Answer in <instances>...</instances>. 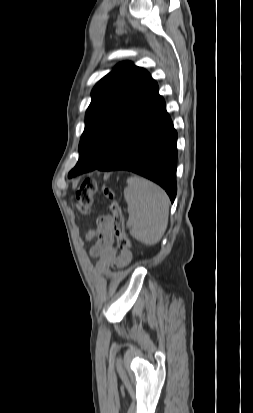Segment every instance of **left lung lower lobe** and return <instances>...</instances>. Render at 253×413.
<instances>
[{"label":"left lung lower lobe","mask_w":253,"mask_h":413,"mask_svg":"<svg viewBox=\"0 0 253 413\" xmlns=\"http://www.w3.org/2000/svg\"><path fill=\"white\" fill-rule=\"evenodd\" d=\"M121 139L113 158L101 171L128 170L159 184L174 201L177 166V132L157 94L137 116L120 127Z\"/></svg>","instance_id":"1"}]
</instances>
